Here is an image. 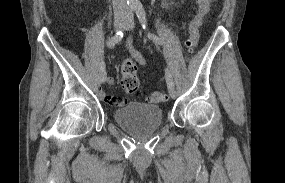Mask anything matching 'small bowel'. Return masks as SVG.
Returning <instances> with one entry per match:
<instances>
[{
	"label": "small bowel",
	"mask_w": 285,
	"mask_h": 183,
	"mask_svg": "<svg viewBox=\"0 0 285 183\" xmlns=\"http://www.w3.org/2000/svg\"><path fill=\"white\" fill-rule=\"evenodd\" d=\"M165 6L166 7H172L173 6V2L169 1V0H166V3H165ZM127 47L130 51V54H131V57L140 65V66H143L145 67L147 65L146 63V60L145 58L142 56V54L136 50L133 46V41L131 38L128 39L127 41ZM106 82L108 84H112L113 83V78L112 77H107L106 79ZM100 96L103 97L106 101H108L109 103L111 104H114V105H121L123 104L125 101L124 99L122 98H119V97H114V96H105L102 92H100ZM112 98H116L117 100L120 101V104H115L113 102H111V99Z\"/></svg>",
	"instance_id": "c3829d8e"
}]
</instances>
